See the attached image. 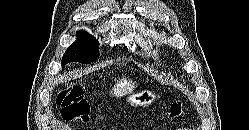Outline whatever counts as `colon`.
<instances>
[{
  "label": "colon",
  "instance_id": "colon-1",
  "mask_svg": "<svg viewBox=\"0 0 249 130\" xmlns=\"http://www.w3.org/2000/svg\"><path fill=\"white\" fill-rule=\"evenodd\" d=\"M56 103L61 109V115L66 121H83L89 119V105L83 98V90L79 86L65 88L57 94ZM185 108L180 101L173 103L170 107V117L183 116Z\"/></svg>",
  "mask_w": 249,
  "mask_h": 130
}]
</instances>
